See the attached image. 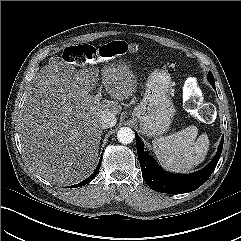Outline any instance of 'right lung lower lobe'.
Listing matches in <instances>:
<instances>
[{"label":"right lung lower lobe","instance_id":"obj_1","mask_svg":"<svg viewBox=\"0 0 241 241\" xmlns=\"http://www.w3.org/2000/svg\"><path fill=\"white\" fill-rule=\"evenodd\" d=\"M100 166H101V162H99V164H98V166L96 167V170L93 172V174H91L88 178H86L84 181H82V182H80V183H78L77 185H74V186H71L72 188L74 187H80V186H84V185H86V184H88L90 181H92L95 177H96V175H97V173H98V171H99V169H100Z\"/></svg>","mask_w":241,"mask_h":241}]
</instances>
